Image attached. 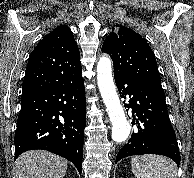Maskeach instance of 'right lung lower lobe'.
I'll return each instance as SVG.
<instances>
[{"instance_id": "1", "label": "right lung lower lobe", "mask_w": 194, "mask_h": 178, "mask_svg": "<svg viewBox=\"0 0 194 178\" xmlns=\"http://www.w3.org/2000/svg\"><path fill=\"white\" fill-rule=\"evenodd\" d=\"M85 90L82 77L69 84L23 95L15 134V159L43 149L71 161L82 172Z\"/></svg>"}]
</instances>
